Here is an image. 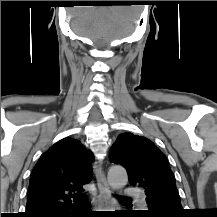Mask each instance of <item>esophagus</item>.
<instances>
[{"instance_id": "1", "label": "esophagus", "mask_w": 217, "mask_h": 217, "mask_svg": "<svg viewBox=\"0 0 217 217\" xmlns=\"http://www.w3.org/2000/svg\"><path fill=\"white\" fill-rule=\"evenodd\" d=\"M97 187H98V202L100 207L106 210L113 209L115 202L112 198L111 190L106 180V176L100 161H95L93 165Z\"/></svg>"}]
</instances>
